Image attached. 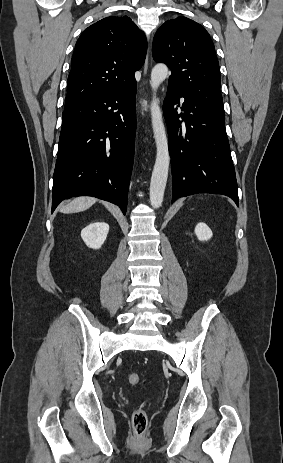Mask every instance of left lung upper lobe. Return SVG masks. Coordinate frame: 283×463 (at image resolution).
Listing matches in <instances>:
<instances>
[{
    "mask_svg": "<svg viewBox=\"0 0 283 463\" xmlns=\"http://www.w3.org/2000/svg\"><path fill=\"white\" fill-rule=\"evenodd\" d=\"M152 54L171 69L169 84L202 109L225 117L214 44L200 24L186 17L166 21L154 36Z\"/></svg>",
    "mask_w": 283,
    "mask_h": 463,
    "instance_id": "5c2ea615",
    "label": "left lung upper lobe"
}]
</instances>
